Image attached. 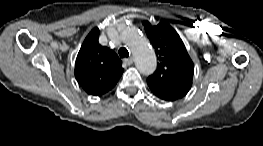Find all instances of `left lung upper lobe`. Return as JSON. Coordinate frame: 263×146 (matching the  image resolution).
I'll return each mask as SVG.
<instances>
[{
  "label": "left lung upper lobe",
  "instance_id": "left-lung-upper-lobe-1",
  "mask_svg": "<svg viewBox=\"0 0 263 146\" xmlns=\"http://www.w3.org/2000/svg\"><path fill=\"white\" fill-rule=\"evenodd\" d=\"M143 24L158 59L156 71L147 79L149 88L166 101L184 97L192 86L194 65L180 36L166 23Z\"/></svg>",
  "mask_w": 263,
  "mask_h": 146
}]
</instances>
